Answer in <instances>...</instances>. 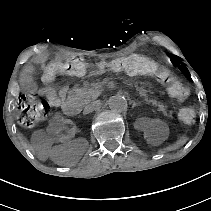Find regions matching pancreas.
<instances>
[{
    "mask_svg": "<svg viewBox=\"0 0 211 211\" xmlns=\"http://www.w3.org/2000/svg\"><path fill=\"white\" fill-rule=\"evenodd\" d=\"M124 83L132 88H136L137 94L140 97H143L145 102L149 103L157 111H161L164 117L168 119L172 118L171 111H166L167 106L160 102H157L156 99H150L147 89L143 88L142 86H138V84L133 81L124 80ZM104 89V84L100 81H96L90 86L72 90L71 93L73 98L70 101V110L72 112H77L82 104H88L91 100H93V97H95L97 94L102 93Z\"/></svg>",
    "mask_w": 211,
    "mask_h": 211,
    "instance_id": "pancreas-1",
    "label": "pancreas"
}]
</instances>
